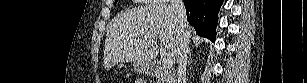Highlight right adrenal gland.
Masks as SVG:
<instances>
[{"label": "right adrenal gland", "instance_id": "obj_1", "mask_svg": "<svg viewBox=\"0 0 307 83\" xmlns=\"http://www.w3.org/2000/svg\"><path fill=\"white\" fill-rule=\"evenodd\" d=\"M191 63V58H190V54H189V57H188V65Z\"/></svg>", "mask_w": 307, "mask_h": 83}]
</instances>
